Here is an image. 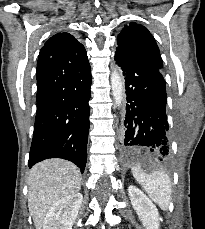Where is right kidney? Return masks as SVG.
<instances>
[{"mask_svg": "<svg viewBox=\"0 0 205 229\" xmlns=\"http://www.w3.org/2000/svg\"><path fill=\"white\" fill-rule=\"evenodd\" d=\"M82 200L83 196L80 193L61 198L49 209L43 222V229H72Z\"/></svg>", "mask_w": 205, "mask_h": 229, "instance_id": "right-kidney-1", "label": "right kidney"}]
</instances>
